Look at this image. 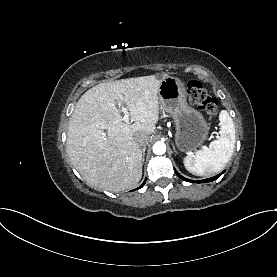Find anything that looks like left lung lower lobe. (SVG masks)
I'll use <instances>...</instances> for the list:
<instances>
[{
    "mask_svg": "<svg viewBox=\"0 0 277 277\" xmlns=\"http://www.w3.org/2000/svg\"><path fill=\"white\" fill-rule=\"evenodd\" d=\"M175 173L177 174L178 177H180L181 179L185 180V181H188V182H191V183H194L195 181L193 180H190V179H187V178H184L182 177L176 170H175ZM224 173V171L222 173H220L219 175L217 176H214L212 178H208V179H205V180H199V181H196L197 183H204V182H211V181H214L216 180L220 175H222Z\"/></svg>",
    "mask_w": 277,
    "mask_h": 277,
    "instance_id": "left-lung-lower-lobe-1",
    "label": "left lung lower lobe"
}]
</instances>
